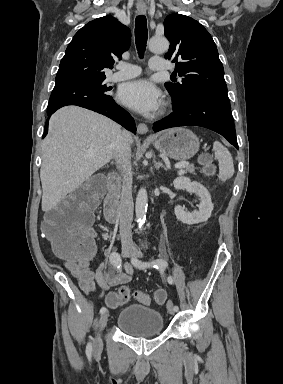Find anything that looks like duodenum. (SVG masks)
<instances>
[{
    "mask_svg": "<svg viewBox=\"0 0 283 384\" xmlns=\"http://www.w3.org/2000/svg\"><path fill=\"white\" fill-rule=\"evenodd\" d=\"M121 177L118 173L112 172L108 176V191L104 203V216L109 223H116L119 213V188Z\"/></svg>",
    "mask_w": 283,
    "mask_h": 384,
    "instance_id": "obj_1",
    "label": "duodenum"
}]
</instances>
